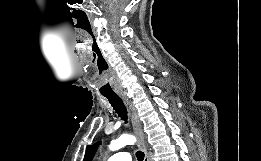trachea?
Segmentation results:
<instances>
[{
	"label": "trachea",
	"mask_w": 261,
	"mask_h": 161,
	"mask_svg": "<svg viewBox=\"0 0 261 161\" xmlns=\"http://www.w3.org/2000/svg\"><path fill=\"white\" fill-rule=\"evenodd\" d=\"M105 97L109 100L110 104L112 105L113 109L116 111L118 116L126 122L127 121V109H126L123 101L121 100V98L117 95H115V96L105 95ZM136 157H137L138 161H143L144 152L137 151Z\"/></svg>",
	"instance_id": "1"
}]
</instances>
